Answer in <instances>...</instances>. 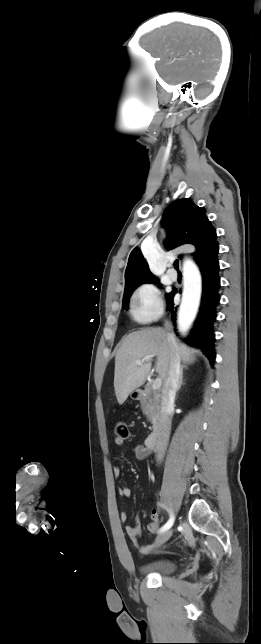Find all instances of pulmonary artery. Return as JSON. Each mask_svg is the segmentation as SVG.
<instances>
[{"mask_svg":"<svg viewBox=\"0 0 261 644\" xmlns=\"http://www.w3.org/2000/svg\"><path fill=\"white\" fill-rule=\"evenodd\" d=\"M167 274H168V276H169V278H170V279H172V280H176V279H177V272H176L174 269H169V270L167 271Z\"/></svg>","mask_w":261,"mask_h":644,"instance_id":"e3ab8cb5","label":"pulmonary artery"}]
</instances>
